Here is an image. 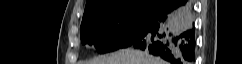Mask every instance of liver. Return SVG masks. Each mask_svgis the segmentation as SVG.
Masks as SVG:
<instances>
[{"instance_id": "obj_1", "label": "liver", "mask_w": 242, "mask_h": 64, "mask_svg": "<svg viewBox=\"0 0 242 64\" xmlns=\"http://www.w3.org/2000/svg\"><path fill=\"white\" fill-rule=\"evenodd\" d=\"M190 20L192 22L191 15ZM85 64H165V62L148 53L134 49H123L109 56L91 59Z\"/></svg>"}]
</instances>
